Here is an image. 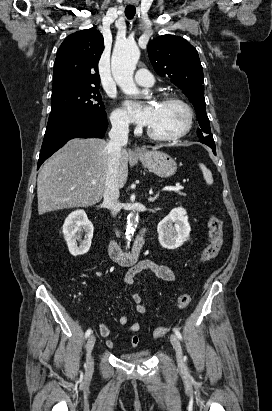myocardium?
Returning <instances> with one entry per match:
<instances>
[{"label":"myocardium","mask_w":272,"mask_h":411,"mask_svg":"<svg viewBox=\"0 0 272 411\" xmlns=\"http://www.w3.org/2000/svg\"><path fill=\"white\" fill-rule=\"evenodd\" d=\"M160 102L162 103H176L179 104L180 106H182L186 113H187V123L184 127V129L175 134V135H169V136H165V135H158L155 132H153L149 127H147L146 129V133L147 135L157 141H161V142H173V141H177L179 139H182L183 137H185L192 129L193 124H194V111L192 109V107L190 106V104L188 102H186L185 100H183L180 97L174 96V95H164L160 98Z\"/></svg>","instance_id":"myocardium-1"}]
</instances>
